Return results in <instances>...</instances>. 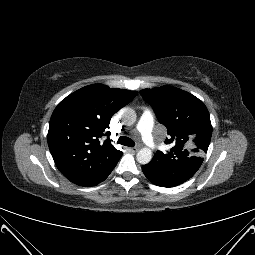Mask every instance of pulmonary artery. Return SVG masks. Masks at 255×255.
Returning <instances> with one entry per match:
<instances>
[{
    "instance_id": "obj_1",
    "label": "pulmonary artery",
    "mask_w": 255,
    "mask_h": 255,
    "mask_svg": "<svg viewBox=\"0 0 255 255\" xmlns=\"http://www.w3.org/2000/svg\"><path fill=\"white\" fill-rule=\"evenodd\" d=\"M153 126H154L153 114L146 109L143 111L139 119L137 129L140 132L144 142L151 148L156 147V143L152 135Z\"/></svg>"
}]
</instances>
